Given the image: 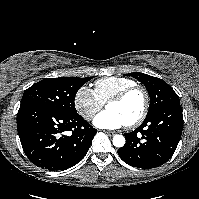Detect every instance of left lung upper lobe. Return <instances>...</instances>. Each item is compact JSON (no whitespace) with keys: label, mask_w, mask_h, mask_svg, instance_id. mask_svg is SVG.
I'll return each mask as SVG.
<instances>
[{"label":"left lung upper lobe","mask_w":199,"mask_h":199,"mask_svg":"<svg viewBox=\"0 0 199 199\" xmlns=\"http://www.w3.org/2000/svg\"><path fill=\"white\" fill-rule=\"evenodd\" d=\"M132 76L144 84L150 96V107L147 116L159 111L171 104L180 103L175 91L162 79L143 73H130Z\"/></svg>","instance_id":"left-lung-upper-lobe-1"}]
</instances>
